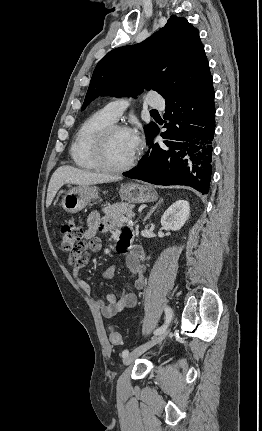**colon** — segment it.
Segmentation results:
<instances>
[{"label":"colon","instance_id":"obj_1","mask_svg":"<svg viewBox=\"0 0 262 431\" xmlns=\"http://www.w3.org/2000/svg\"><path fill=\"white\" fill-rule=\"evenodd\" d=\"M96 243V238L85 239L84 227L79 223H66L61 228V247L72 256L80 255ZM108 340L112 344H120L121 335L116 329L110 328Z\"/></svg>","mask_w":262,"mask_h":431}]
</instances>
